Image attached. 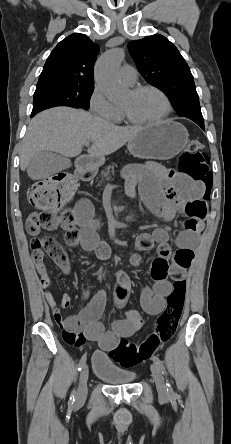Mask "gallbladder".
Listing matches in <instances>:
<instances>
[{
    "mask_svg": "<svg viewBox=\"0 0 231 444\" xmlns=\"http://www.w3.org/2000/svg\"><path fill=\"white\" fill-rule=\"evenodd\" d=\"M68 165V160L58 153L41 151L30 159L27 173L32 180H39L66 169Z\"/></svg>",
    "mask_w": 231,
    "mask_h": 444,
    "instance_id": "obj_1",
    "label": "gallbladder"
}]
</instances>
